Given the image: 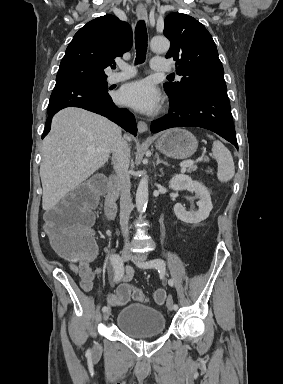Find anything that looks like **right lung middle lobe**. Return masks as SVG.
Masks as SVG:
<instances>
[{
  "label": "right lung middle lobe",
  "mask_w": 283,
  "mask_h": 384,
  "mask_svg": "<svg viewBox=\"0 0 283 384\" xmlns=\"http://www.w3.org/2000/svg\"><path fill=\"white\" fill-rule=\"evenodd\" d=\"M109 89L106 81L54 88L48 108H60L84 101L109 98Z\"/></svg>",
  "instance_id": "dd1d6c3e"
}]
</instances>
